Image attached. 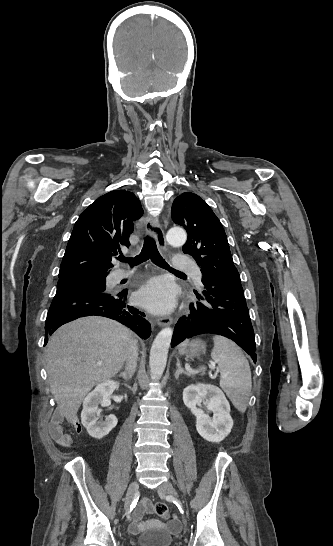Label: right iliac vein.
Instances as JSON below:
<instances>
[{"instance_id":"obj_1","label":"right iliac vein","mask_w":333,"mask_h":546,"mask_svg":"<svg viewBox=\"0 0 333 546\" xmlns=\"http://www.w3.org/2000/svg\"><path fill=\"white\" fill-rule=\"evenodd\" d=\"M139 489L138 482L134 481L130 484L127 493H126V500H125V510L128 511L130 504L132 503L135 494L137 493Z\"/></svg>"}]
</instances>
